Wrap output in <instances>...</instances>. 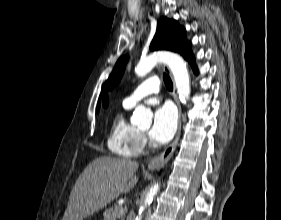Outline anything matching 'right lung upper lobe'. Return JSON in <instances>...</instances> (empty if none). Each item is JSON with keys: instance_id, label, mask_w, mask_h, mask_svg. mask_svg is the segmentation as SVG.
Wrapping results in <instances>:
<instances>
[{"instance_id": "cb5924a9", "label": "right lung upper lobe", "mask_w": 281, "mask_h": 220, "mask_svg": "<svg viewBox=\"0 0 281 220\" xmlns=\"http://www.w3.org/2000/svg\"><path fill=\"white\" fill-rule=\"evenodd\" d=\"M107 105H108V98L105 97V98L103 99V106H104V107H107Z\"/></svg>"}]
</instances>
